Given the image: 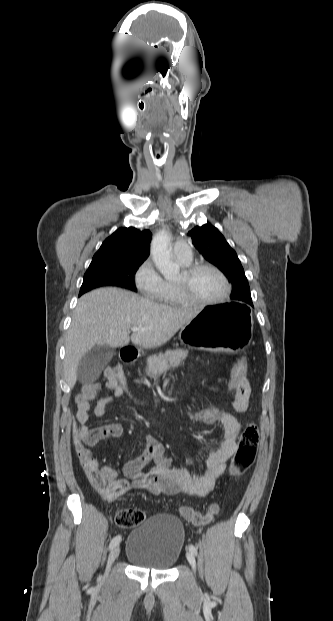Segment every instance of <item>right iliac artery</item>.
I'll return each mask as SVG.
<instances>
[{
	"mask_svg": "<svg viewBox=\"0 0 333 621\" xmlns=\"http://www.w3.org/2000/svg\"><path fill=\"white\" fill-rule=\"evenodd\" d=\"M120 541H121V536L120 535L115 536L110 542L109 549H113L115 546H117L120 543Z\"/></svg>",
	"mask_w": 333,
	"mask_h": 621,
	"instance_id": "right-iliac-artery-1",
	"label": "right iliac artery"
}]
</instances>
